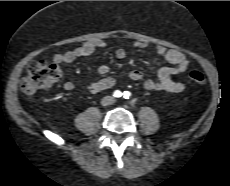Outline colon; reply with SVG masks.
<instances>
[{
	"label": "colon",
	"instance_id": "5ec220e1",
	"mask_svg": "<svg viewBox=\"0 0 230 186\" xmlns=\"http://www.w3.org/2000/svg\"><path fill=\"white\" fill-rule=\"evenodd\" d=\"M60 77L61 69L58 65L44 60H34L28 65L21 80V90L30 95L41 89L51 87ZM188 77L194 83L204 84L207 82L205 75L198 70L191 71Z\"/></svg>",
	"mask_w": 230,
	"mask_h": 186
}]
</instances>
